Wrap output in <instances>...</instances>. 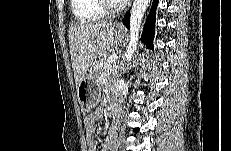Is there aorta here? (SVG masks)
<instances>
[{
  "instance_id": "762f6f07",
  "label": "aorta",
  "mask_w": 231,
  "mask_h": 151,
  "mask_svg": "<svg viewBox=\"0 0 231 151\" xmlns=\"http://www.w3.org/2000/svg\"><path fill=\"white\" fill-rule=\"evenodd\" d=\"M149 2L150 0H134L130 16V40L125 53L127 62L132 59L137 49L141 22Z\"/></svg>"
}]
</instances>
